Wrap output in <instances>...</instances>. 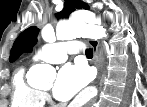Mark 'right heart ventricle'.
Returning <instances> with one entry per match:
<instances>
[{"instance_id":"e07e8e85","label":"right heart ventricle","mask_w":147,"mask_h":107,"mask_svg":"<svg viewBox=\"0 0 147 107\" xmlns=\"http://www.w3.org/2000/svg\"><path fill=\"white\" fill-rule=\"evenodd\" d=\"M11 102L13 107H43L44 105L42 92L28 83L24 68L17 69L13 75Z\"/></svg>"}]
</instances>
